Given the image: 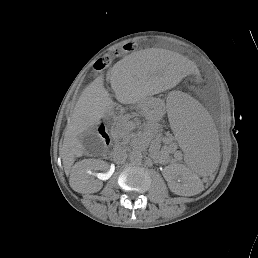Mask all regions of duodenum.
I'll return each mask as SVG.
<instances>
[{"label": "duodenum", "mask_w": 258, "mask_h": 258, "mask_svg": "<svg viewBox=\"0 0 258 258\" xmlns=\"http://www.w3.org/2000/svg\"><path fill=\"white\" fill-rule=\"evenodd\" d=\"M101 129H102L101 134H102V136H103V139L105 140L106 145H108L109 140H110V136H109V134L107 133V131H106V130H104V128H103V127H102Z\"/></svg>", "instance_id": "duodenum-1"}]
</instances>
